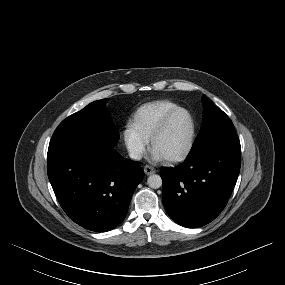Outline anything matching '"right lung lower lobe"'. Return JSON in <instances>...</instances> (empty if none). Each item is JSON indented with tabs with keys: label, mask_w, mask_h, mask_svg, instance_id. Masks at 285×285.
<instances>
[{
	"label": "right lung lower lobe",
	"mask_w": 285,
	"mask_h": 285,
	"mask_svg": "<svg viewBox=\"0 0 285 285\" xmlns=\"http://www.w3.org/2000/svg\"><path fill=\"white\" fill-rule=\"evenodd\" d=\"M47 172L55 195L75 223L95 232L119 225L144 177L139 162L107 145L81 140L51 144Z\"/></svg>",
	"instance_id": "right-lung-lower-lobe-1"
}]
</instances>
